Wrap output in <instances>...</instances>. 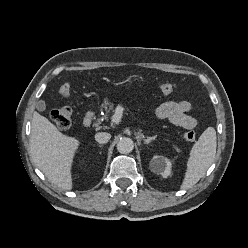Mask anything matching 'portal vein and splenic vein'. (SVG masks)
<instances>
[{"mask_svg": "<svg viewBox=\"0 0 248 248\" xmlns=\"http://www.w3.org/2000/svg\"><path fill=\"white\" fill-rule=\"evenodd\" d=\"M122 114H123V108L122 107H118L114 113V115L112 116V123L117 124L120 122L121 118H122Z\"/></svg>", "mask_w": 248, "mask_h": 248, "instance_id": "18ae733b", "label": "portal vein and splenic vein"}]
</instances>
